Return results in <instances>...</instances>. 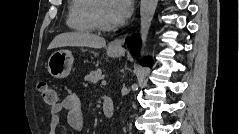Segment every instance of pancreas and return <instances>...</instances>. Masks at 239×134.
<instances>
[{"label":"pancreas","instance_id":"1","mask_svg":"<svg viewBox=\"0 0 239 134\" xmlns=\"http://www.w3.org/2000/svg\"><path fill=\"white\" fill-rule=\"evenodd\" d=\"M102 77H103L102 70L98 68L95 71L90 72L89 75L85 76V81H88L90 83H96Z\"/></svg>","mask_w":239,"mask_h":134}]
</instances>
